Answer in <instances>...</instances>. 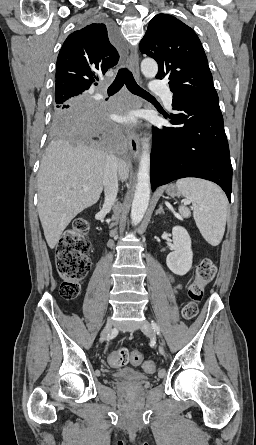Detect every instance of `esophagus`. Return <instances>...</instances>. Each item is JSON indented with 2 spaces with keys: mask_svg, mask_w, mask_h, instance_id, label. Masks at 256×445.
<instances>
[{
  "mask_svg": "<svg viewBox=\"0 0 256 445\" xmlns=\"http://www.w3.org/2000/svg\"><path fill=\"white\" fill-rule=\"evenodd\" d=\"M128 64L136 79H139V56L138 53H132L128 59ZM136 106L140 104L135 103ZM126 139L132 156L137 159L140 153V139L134 130L127 129Z\"/></svg>",
  "mask_w": 256,
  "mask_h": 445,
  "instance_id": "1",
  "label": "esophagus"
}]
</instances>
